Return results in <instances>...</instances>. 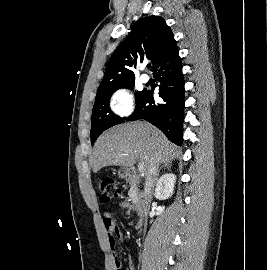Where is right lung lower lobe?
Listing matches in <instances>:
<instances>
[{
  "label": "right lung lower lobe",
  "mask_w": 267,
  "mask_h": 270,
  "mask_svg": "<svg viewBox=\"0 0 267 270\" xmlns=\"http://www.w3.org/2000/svg\"><path fill=\"white\" fill-rule=\"evenodd\" d=\"M153 72L160 82L159 96L163 102L156 103L153 91L146 90L127 120L142 118L159 128L171 142L182 145L185 90L182 63L176 44L159 60Z\"/></svg>",
  "instance_id": "obj_1"
}]
</instances>
